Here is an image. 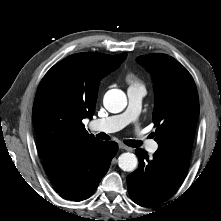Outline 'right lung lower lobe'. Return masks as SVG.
Segmentation results:
<instances>
[{
    "label": "right lung lower lobe",
    "instance_id": "right-lung-lower-lobe-1",
    "mask_svg": "<svg viewBox=\"0 0 221 221\" xmlns=\"http://www.w3.org/2000/svg\"><path fill=\"white\" fill-rule=\"evenodd\" d=\"M117 150L116 142L97 140L43 161V165L63 197L82 201L95 192Z\"/></svg>",
    "mask_w": 221,
    "mask_h": 221
}]
</instances>
